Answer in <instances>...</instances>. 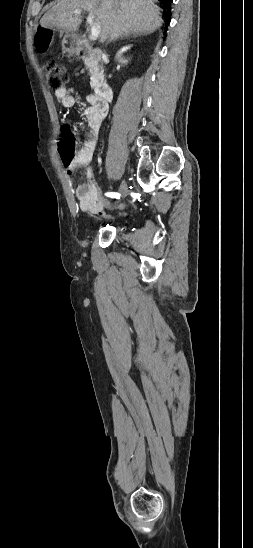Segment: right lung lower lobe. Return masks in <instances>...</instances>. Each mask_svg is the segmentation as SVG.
Wrapping results in <instances>:
<instances>
[{
  "label": "right lung lower lobe",
  "mask_w": 253,
  "mask_h": 548,
  "mask_svg": "<svg viewBox=\"0 0 253 548\" xmlns=\"http://www.w3.org/2000/svg\"><path fill=\"white\" fill-rule=\"evenodd\" d=\"M168 10H170V5H171V2L172 0H159ZM170 14L168 15V17L166 18V21L167 23L169 24L170 22Z\"/></svg>",
  "instance_id": "right-lung-lower-lobe-1"
}]
</instances>
